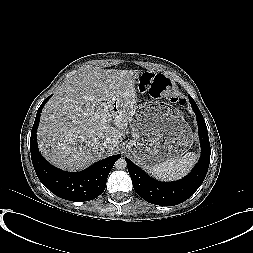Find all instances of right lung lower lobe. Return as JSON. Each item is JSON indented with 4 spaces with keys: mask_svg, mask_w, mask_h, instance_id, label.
<instances>
[{
    "mask_svg": "<svg viewBox=\"0 0 253 253\" xmlns=\"http://www.w3.org/2000/svg\"><path fill=\"white\" fill-rule=\"evenodd\" d=\"M50 97L39 107L31 131L30 151L35 172L39 180L58 197L76 202L92 200L103 193L109 172L121 156H110L81 172L62 171L49 164L38 150L36 132L40 113Z\"/></svg>",
    "mask_w": 253,
    "mask_h": 253,
    "instance_id": "right-lung-lower-lobe-1",
    "label": "right lung lower lobe"
}]
</instances>
